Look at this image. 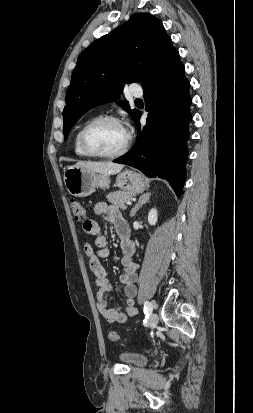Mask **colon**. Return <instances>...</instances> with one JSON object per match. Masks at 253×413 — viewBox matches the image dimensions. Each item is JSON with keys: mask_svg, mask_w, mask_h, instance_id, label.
Masks as SVG:
<instances>
[{"mask_svg": "<svg viewBox=\"0 0 253 413\" xmlns=\"http://www.w3.org/2000/svg\"><path fill=\"white\" fill-rule=\"evenodd\" d=\"M70 207H71V211H72L74 217H75L77 220H80V219H82V218L84 217V213H85V212H84V208H83V206H82L78 201H76V200H74V199H71V200H70ZM108 338H109L111 341H119V340H121V337H120L119 334H118L117 332H115V331H110L109 334H108Z\"/></svg>", "mask_w": 253, "mask_h": 413, "instance_id": "5ec220e1", "label": "colon"}]
</instances>
